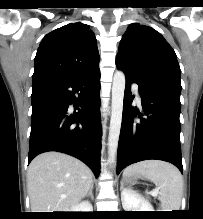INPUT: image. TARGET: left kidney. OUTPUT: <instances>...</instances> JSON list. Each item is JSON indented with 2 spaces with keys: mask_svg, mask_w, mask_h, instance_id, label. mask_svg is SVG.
<instances>
[{
  "mask_svg": "<svg viewBox=\"0 0 203 219\" xmlns=\"http://www.w3.org/2000/svg\"><path fill=\"white\" fill-rule=\"evenodd\" d=\"M121 201L125 211H154L153 206L147 200L129 188L122 190Z\"/></svg>",
  "mask_w": 203,
  "mask_h": 219,
  "instance_id": "5707ae66",
  "label": "left kidney"
}]
</instances>
